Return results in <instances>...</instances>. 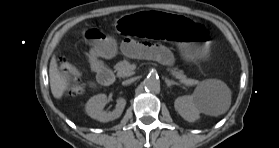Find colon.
Masks as SVG:
<instances>
[{
  "label": "colon",
  "instance_id": "obj_1",
  "mask_svg": "<svg viewBox=\"0 0 279 148\" xmlns=\"http://www.w3.org/2000/svg\"><path fill=\"white\" fill-rule=\"evenodd\" d=\"M59 68L63 74L68 75L71 78L66 90V93L69 96L78 97L86 92V86L81 83L75 73L69 69L68 63L65 60L60 62Z\"/></svg>",
  "mask_w": 279,
  "mask_h": 148
}]
</instances>
